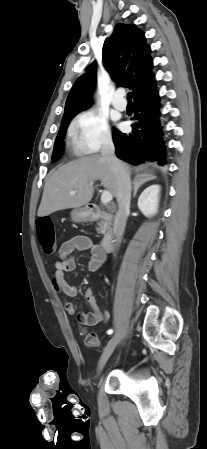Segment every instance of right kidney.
Wrapping results in <instances>:
<instances>
[{"mask_svg": "<svg viewBox=\"0 0 207 449\" xmlns=\"http://www.w3.org/2000/svg\"><path fill=\"white\" fill-rule=\"evenodd\" d=\"M159 185H151L146 188L138 199V208L146 216L151 217L158 211Z\"/></svg>", "mask_w": 207, "mask_h": 449, "instance_id": "right-kidney-1", "label": "right kidney"}]
</instances>
